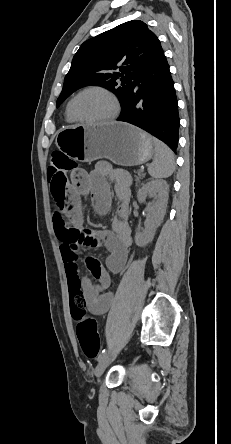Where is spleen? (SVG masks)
Listing matches in <instances>:
<instances>
[{
    "label": "spleen",
    "instance_id": "3e777b00",
    "mask_svg": "<svg viewBox=\"0 0 231 444\" xmlns=\"http://www.w3.org/2000/svg\"><path fill=\"white\" fill-rule=\"evenodd\" d=\"M155 156L153 162L148 166V172L153 178H167L172 175L175 168L174 154L172 150L162 141L152 139Z\"/></svg>",
    "mask_w": 231,
    "mask_h": 444
}]
</instances>
